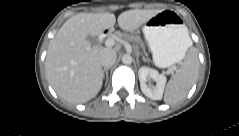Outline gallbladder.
Listing matches in <instances>:
<instances>
[{"mask_svg":"<svg viewBox=\"0 0 239 136\" xmlns=\"http://www.w3.org/2000/svg\"><path fill=\"white\" fill-rule=\"evenodd\" d=\"M87 40L92 44V45H95L97 43V40L95 37H92V36H88L87 37Z\"/></svg>","mask_w":239,"mask_h":136,"instance_id":"1","label":"gallbladder"}]
</instances>
